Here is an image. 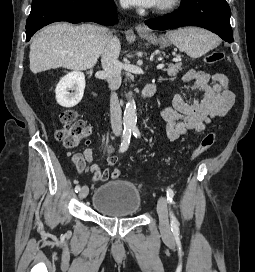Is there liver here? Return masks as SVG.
Here are the masks:
<instances>
[{
	"label": "liver",
	"mask_w": 255,
	"mask_h": 272,
	"mask_svg": "<svg viewBox=\"0 0 255 272\" xmlns=\"http://www.w3.org/2000/svg\"><path fill=\"white\" fill-rule=\"evenodd\" d=\"M111 39L108 28L82 24L54 23L39 31L30 45L32 73L64 67L87 70L95 66Z\"/></svg>",
	"instance_id": "6515ba94"
}]
</instances>
